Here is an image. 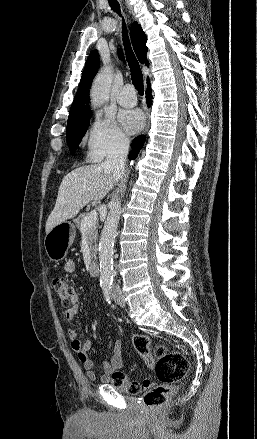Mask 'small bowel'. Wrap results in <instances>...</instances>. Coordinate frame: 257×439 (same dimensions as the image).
Listing matches in <instances>:
<instances>
[{
  "mask_svg": "<svg viewBox=\"0 0 257 439\" xmlns=\"http://www.w3.org/2000/svg\"><path fill=\"white\" fill-rule=\"evenodd\" d=\"M64 273L70 275L75 271V263L72 260L66 261L63 267ZM80 310L79 297L76 292L72 297L71 305L65 310V318L67 321H73ZM68 336L71 340V348L77 356L79 362L86 370L87 377L90 380H97L98 375L96 373V362L89 356V350L91 348L90 340H83L79 337L78 331L75 326L71 325L68 328ZM125 366L124 359V346L122 341H117L109 354L108 358L103 360L101 367L103 375L100 380L103 383H108L113 377L121 373L122 368Z\"/></svg>",
  "mask_w": 257,
  "mask_h": 439,
  "instance_id": "obj_1",
  "label": "small bowel"
}]
</instances>
